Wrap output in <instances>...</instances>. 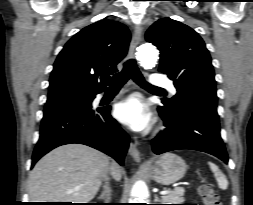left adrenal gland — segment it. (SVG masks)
Instances as JSON below:
<instances>
[{"instance_id": "obj_1", "label": "left adrenal gland", "mask_w": 253, "mask_h": 205, "mask_svg": "<svg viewBox=\"0 0 253 205\" xmlns=\"http://www.w3.org/2000/svg\"><path fill=\"white\" fill-rule=\"evenodd\" d=\"M154 197H155V198H154V201H155V202H160V201H161V200L158 198L157 194H155Z\"/></svg>"}]
</instances>
